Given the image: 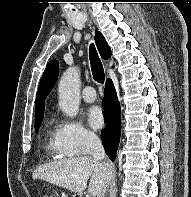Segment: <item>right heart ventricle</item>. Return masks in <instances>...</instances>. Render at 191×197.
I'll list each match as a JSON object with an SVG mask.
<instances>
[{"label": "right heart ventricle", "instance_id": "1", "mask_svg": "<svg viewBox=\"0 0 191 197\" xmlns=\"http://www.w3.org/2000/svg\"><path fill=\"white\" fill-rule=\"evenodd\" d=\"M44 148L46 152L54 155L57 158H63L65 156L60 153L57 145L56 131L51 128L46 129Z\"/></svg>", "mask_w": 191, "mask_h": 197}]
</instances>
